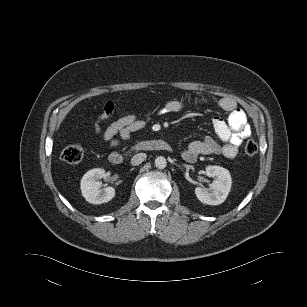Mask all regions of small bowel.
I'll return each instance as SVG.
<instances>
[{
    "mask_svg": "<svg viewBox=\"0 0 307 307\" xmlns=\"http://www.w3.org/2000/svg\"><path fill=\"white\" fill-rule=\"evenodd\" d=\"M197 104H215L220 109L228 112L226 119L215 116L212 124L216 138L206 137L201 141L191 142L183 151L182 156L188 162L195 161L200 155L221 154L232 159L237 155L238 148L243 140L251 135V128L247 123L245 112L238 107L237 102L230 97L210 99L201 97ZM181 100H169L160 109V114H172L185 108ZM115 111V104L109 101L105 104L103 112L98 116L93 125L94 134L100 136L110 148L121 145L122 141H129L134 132L143 130L148 120L139 119L134 114L125 115L110 123L106 128L102 124L107 121Z\"/></svg>",
    "mask_w": 307,
    "mask_h": 307,
    "instance_id": "1",
    "label": "small bowel"
}]
</instances>
